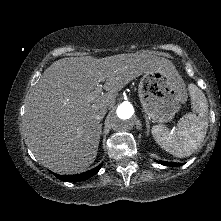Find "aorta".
Masks as SVG:
<instances>
[{"label":"aorta","instance_id":"762f6f07","mask_svg":"<svg viewBox=\"0 0 221 221\" xmlns=\"http://www.w3.org/2000/svg\"><path fill=\"white\" fill-rule=\"evenodd\" d=\"M135 124V110L130 102L119 103L111 115V126L119 133L130 131Z\"/></svg>","mask_w":221,"mask_h":221}]
</instances>
